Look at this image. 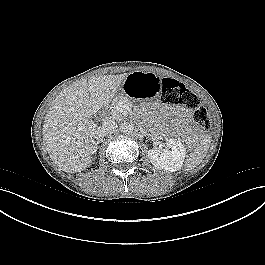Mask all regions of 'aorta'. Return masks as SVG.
<instances>
[{
  "label": "aorta",
  "mask_w": 265,
  "mask_h": 265,
  "mask_svg": "<svg viewBox=\"0 0 265 265\" xmlns=\"http://www.w3.org/2000/svg\"><path fill=\"white\" fill-rule=\"evenodd\" d=\"M133 129H134L133 125L129 122H124L121 125V131L124 134H131L133 132Z\"/></svg>",
  "instance_id": "obj_1"
}]
</instances>
